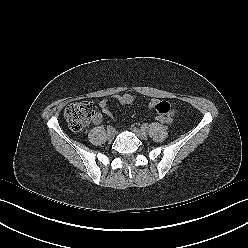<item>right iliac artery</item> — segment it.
I'll return each mask as SVG.
<instances>
[{
	"label": "right iliac artery",
	"instance_id": "1",
	"mask_svg": "<svg viewBox=\"0 0 248 248\" xmlns=\"http://www.w3.org/2000/svg\"><path fill=\"white\" fill-rule=\"evenodd\" d=\"M113 130H114L113 126H111V125L107 126V131H113Z\"/></svg>",
	"mask_w": 248,
	"mask_h": 248
}]
</instances>
